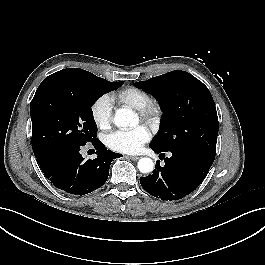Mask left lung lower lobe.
Instances as JSON below:
<instances>
[{"label": "left lung lower lobe", "instance_id": "obj_1", "mask_svg": "<svg viewBox=\"0 0 265 265\" xmlns=\"http://www.w3.org/2000/svg\"><path fill=\"white\" fill-rule=\"evenodd\" d=\"M151 149L156 153L163 152ZM170 152L172 156L164 159L163 167L156 163L153 174L140 178V184L150 195L169 201L179 200L194 191L204 180L214 161L195 150Z\"/></svg>", "mask_w": 265, "mask_h": 265}]
</instances>
